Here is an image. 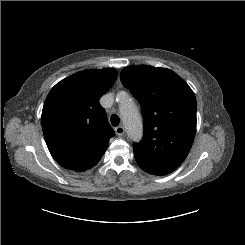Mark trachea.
Returning <instances> with one entry per match:
<instances>
[{
    "label": "trachea",
    "mask_w": 245,
    "mask_h": 245,
    "mask_svg": "<svg viewBox=\"0 0 245 245\" xmlns=\"http://www.w3.org/2000/svg\"><path fill=\"white\" fill-rule=\"evenodd\" d=\"M119 123H120V118H119V116L116 115V114H113V115L111 116V124H112L113 126H118Z\"/></svg>",
    "instance_id": "1"
}]
</instances>
